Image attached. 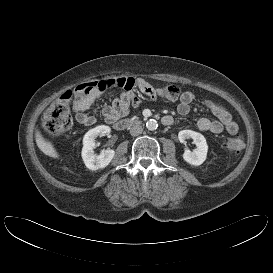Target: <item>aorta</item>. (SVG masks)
Listing matches in <instances>:
<instances>
[{
  "instance_id": "1",
  "label": "aorta",
  "mask_w": 273,
  "mask_h": 273,
  "mask_svg": "<svg viewBox=\"0 0 273 273\" xmlns=\"http://www.w3.org/2000/svg\"><path fill=\"white\" fill-rule=\"evenodd\" d=\"M158 127V123L154 119H150L146 122V128L150 131L156 130Z\"/></svg>"
}]
</instances>
